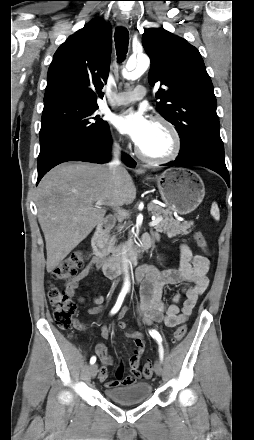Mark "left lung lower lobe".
Returning <instances> with one entry per match:
<instances>
[{
  "label": "left lung lower lobe",
  "mask_w": 254,
  "mask_h": 440,
  "mask_svg": "<svg viewBox=\"0 0 254 440\" xmlns=\"http://www.w3.org/2000/svg\"><path fill=\"white\" fill-rule=\"evenodd\" d=\"M164 165L175 167L203 166L220 174L229 185V174L225 165L222 140L203 139L190 153L179 154L175 161Z\"/></svg>",
  "instance_id": "left-lung-lower-lobe-1"
}]
</instances>
